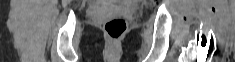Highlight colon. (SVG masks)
Segmentation results:
<instances>
[{
	"label": "colon",
	"mask_w": 235,
	"mask_h": 62,
	"mask_svg": "<svg viewBox=\"0 0 235 62\" xmlns=\"http://www.w3.org/2000/svg\"><path fill=\"white\" fill-rule=\"evenodd\" d=\"M127 29V22L124 18H112L104 23V32L111 42H117L122 38Z\"/></svg>",
	"instance_id": "colon-1"
}]
</instances>
